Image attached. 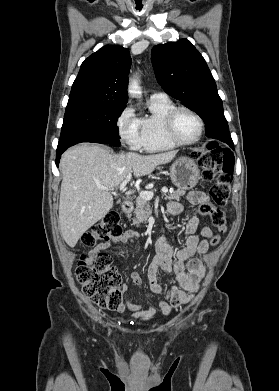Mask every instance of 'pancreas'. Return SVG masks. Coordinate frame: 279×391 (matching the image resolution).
Instances as JSON below:
<instances>
[{"label": "pancreas", "instance_id": "1", "mask_svg": "<svg viewBox=\"0 0 279 391\" xmlns=\"http://www.w3.org/2000/svg\"><path fill=\"white\" fill-rule=\"evenodd\" d=\"M184 194H185L184 191L177 190L166 195V198L168 200L179 201L180 197L183 196ZM136 203L137 205L134 210L135 217L133 219L134 224L146 222L149 216L152 214L150 203L148 202V200H144L141 197L137 199Z\"/></svg>", "mask_w": 279, "mask_h": 391}]
</instances>
